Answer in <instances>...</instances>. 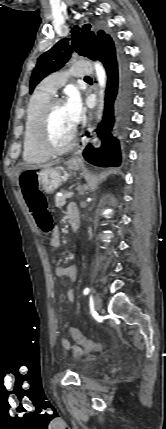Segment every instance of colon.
Instances as JSON below:
<instances>
[{"instance_id":"colon-1","label":"colon","mask_w":166,"mask_h":429,"mask_svg":"<svg viewBox=\"0 0 166 429\" xmlns=\"http://www.w3.org/2000/svg\"><path fill=\"white\" fill-rule=\"evenodd\" d=\"M20 187L23 197L32 212L38 227L45 233L53 229L52 216L48 210L47 200L38 186V174L34 169H27L20 175ZM70 336L73 340L83 346L88 351H101L104 345L95 342L77 329L69 328Z\"/></svg>"}]
</instances>
